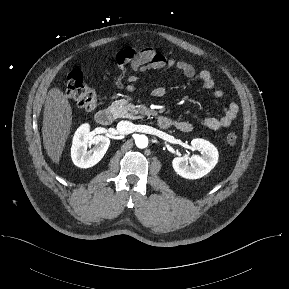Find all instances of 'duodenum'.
I'll return each mask as SVG.
<instances>
[{
  "instance_id": "duodenum-1",
  "label": "duodenum",
  "mask_w": 289,
  "mask_h": 289,
  "mask_svg": "<svg viewBox=\"0 0 289 289\" xmlns=\"http://www.w3.org/2000/svg\"><path fill=\"white\" fill-rule=\"evenodd\" d=\"M95 119L100 125H109L113 120V112L108 108H103L96 113ZM157 124L161 129H167L172 125V121L166 116H159Z\"/></svg>"
}]
</instances>
